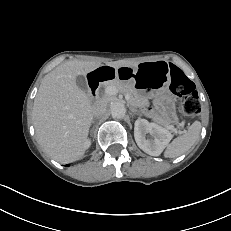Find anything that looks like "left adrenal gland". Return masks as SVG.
I'll list each match as a JSON object with an SVG mask.
<instances>
[{
    "mask_svg": "<svg viewBox=\"0 0 231 231\" xmlns=\"http://www.w3.org/2000/svg\"><path fill=\"white\" fill-rule=\"evenodd\" d=\"M131 110H132V112L134 113V115L138 114L139 116H141V114H139L138 111H137L136 109L132 108Z\"/></svg>",
    "mask_w": 231,
    "mask_h": 231,
    "instance_id": "a2214340",
    "label": "left adrenal gland"
}]
</instances>
